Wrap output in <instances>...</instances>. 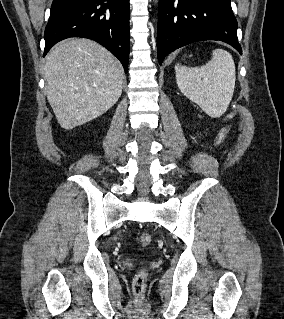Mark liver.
Wrapping results in <instances>:
<instances>
[{"mask_svg":"<svg viewBox=\"0 0 284 319\" xmlns=\"http://www.w3.org/2000/svg\"><path fill=\"white\" fill-rule=\"evenodd\" d=\"M122 68L102 45L84 38L57 44L45 64L47 99L60 126L73 129L102 115L122 93Z\"/></svg>","mask_w":284,"mask_h":319,"instance_id":"liver-1","label":"liver"}]
</instances>
